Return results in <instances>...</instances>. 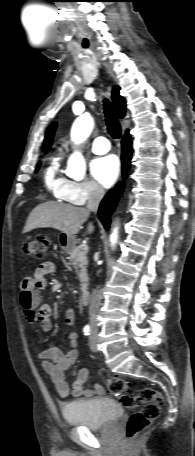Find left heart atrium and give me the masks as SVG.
Listing matches in <instances>:
<instances>
[{
  "mask_svg": "<svg viewBox=\"0 0 195 456\" xmlns=\"http://www.w3.org/2000/svg\"><path fill=\"white\" fill-rule=\"evenodd\" d=\"M90 172L103 187H110L119 176L120 162L115 155L97 157L90 164Z\"/></svg>",
  "mask_w": 195,
  "mask_h": 456,
  "instance_id": "1",
  "label": "left heart atrium"
}]
</instances>
